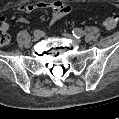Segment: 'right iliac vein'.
<instances>
[{
    "label": "right iliac vein",
    "mask_w": 119,
    "mask_h": 119,
    "mask_svg": "<svg viewBox=\"0 0 119 119\" xmlns=\"http://www.w3.org/2000/svg\"><path fill=\"white\" fill-rule=\"evenodd\" d=\"M41 37H42V33H41L40 36H35V35H34V41H38V40H40Z\"/></svg>",
    "instance_id": "obj_1"
}]
</instances>
